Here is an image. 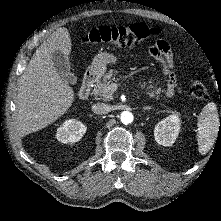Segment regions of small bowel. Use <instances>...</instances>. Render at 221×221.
<instances>
[{
	"mask_svg": "<svg viewBox=\"0 0 221 221\" xmlns=\"http://www.w3.org/2000/svg\"><path fill=\"white\" fill-rule=\"evenodd\" d=\"M150 53L160 64L163 65L164 74L167 78L165 93L167 96H170L175 89V79L172 73L173 60L170 46L166 41L158 40L156 44L150 48Z\"/></svg>",
	"mask_w": 221,
	"mask_h": 221,
	"instance_id": "obj_1",
	"label": "small bowel"
}]
</instances>
